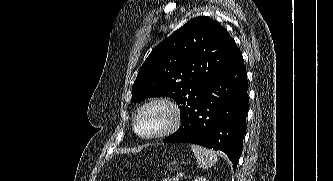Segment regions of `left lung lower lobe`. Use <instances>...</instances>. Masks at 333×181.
Here are the masks:
<instances>
[{"instance_id":"obj_1","label":"left lung lower lobe","mask_w":333,"mask_h":181,"mask_svg":"<svg viewBox=\"0 0 333 181\" xmlns=\"http://www.w3.org/2000/svg\"><path fill=\"white\" fill-rule=\"evenodd\" d=\"M243 57L233 60L205 87L200 102L181 115V126L164 143L189 142L225 153L234 171L242 153L248 112Z\"/></svg>"}]
</instances>
